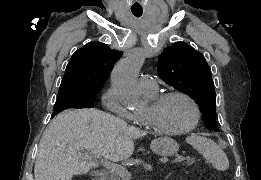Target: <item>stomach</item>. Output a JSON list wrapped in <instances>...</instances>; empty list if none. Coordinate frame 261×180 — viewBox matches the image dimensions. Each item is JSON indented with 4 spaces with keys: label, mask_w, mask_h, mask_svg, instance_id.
I'll return each mask as SVG.
<instances>
[{
    "label": "stomach",
    "mask_w": 261,
    "mask_h": 180,
    "mask_svg": "<svg viewBox=\"0 0 261 180\" xmlns=\"http://www.w3.org/2000/svg\"><path fill=\"white\" fill-rule=\"evenodd\" d=\"M150 149L160 156H172L179 150V144L169 137H161L151 142Z\"/></svg>",
    "instance_id": "1"
}]
</instances>
